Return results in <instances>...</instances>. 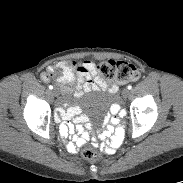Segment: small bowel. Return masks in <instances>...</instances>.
I'll return each mask as SVG.
<instances>
[{
  "label": "small bowel",
  "instance_id": "1",
  "mask_svg": "<svg viewBox=\"0 0 183 183\" xmlns=\"http://www.w3.org/2000/svg\"><path fill=\"white\" fill-rule=\"evenodd\" d=\"M58 68L61 70L58 81L63 85L62 92L64 94L69 92L67 85L71 82L75 83L77 95L82 91L98 88H108L110 93H115L118 90L116 84L108 85L103 78L97 75L95 64L91 60L81 63L75 60H66L60 62ZM48 73H53V69L51 68ZM44 78L47 79L48 74L44 75ZM109 115L98 131L103 143L101 145L96 144V147L104 149L107 155H113L120 147L124 136V130L119 125V118L125 119L128 116V110L125 107L114 105L109 110ZM55 119L58 122H63L58 128V133L61 136L65 137L77 133L72 136V141L67 144V149L70 152H77L80 147L85 145L89 135L88 131L92 129V125L85 116L81 115L80 107L64 104L56 110Z\"/></svg>",
  "mask_w": 183,
  "mask_h": 183
}]
</instances>
